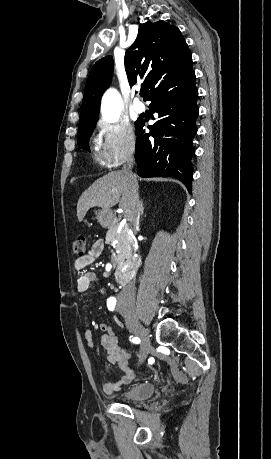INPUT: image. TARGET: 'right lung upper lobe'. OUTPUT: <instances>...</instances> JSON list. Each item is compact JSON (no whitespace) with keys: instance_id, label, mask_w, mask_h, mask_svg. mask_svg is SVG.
Returning <instances> with one entry per match:
<instances>
[{"instance_id":"cb5924a9","label":"right lung upper lobe","mask_w":271,"mask_h":459,"mask_svg":"<svg viewBox=\"0 0 271 459\" xmlns=\"http://www.w3.org/2000/svg\"><path fill=\"white\" fill-rule=\"evenodd\" d=\"M124 64L130 86L144 80L146 98L171 78L193 70L191 53L180 30L163 20L139 25L137 38L125 53ZM112 70L111 56L98 60L92 67L79 122L98 118L101 97L110 85Z\"/></svg>"}]
</instances>
